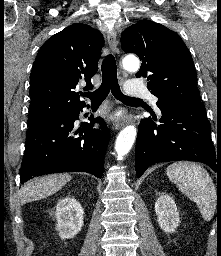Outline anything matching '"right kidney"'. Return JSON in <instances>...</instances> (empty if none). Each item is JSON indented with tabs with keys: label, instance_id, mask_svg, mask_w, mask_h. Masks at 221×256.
<instances>
[{
	"label": "right kidney",
	"instance_id": "obj_1",
	"mask_svg": "<svg viewBox=\"0 0 221 256\" xmlns=\"http://www.w3.org/2000/svg\"><path fill=\"white\" fill-rule=\"evenodd\" d=\"M83 209L74 198L61 199L57 206L55 217L56 229L61 239H70L76 236L83 227Z\"/></svg>",
	"mask_w": 221,
	"mask_h": 256
}]
</instances>
